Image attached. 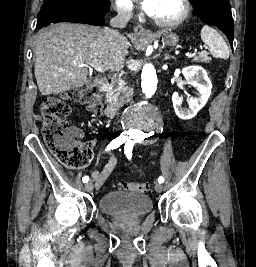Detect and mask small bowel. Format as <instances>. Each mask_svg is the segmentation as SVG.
I'll list each match as a JSON object with an SVG mask.
<instances>
[{"instance_id":"small-bowel-1","label":"small bowel","mask_w":256,"mask_h":267,"mask_svg":"<svg viewBox=\"0 0 256 267\" xmlns=\"http://www.w3.org/2000/svg\"><path fill=\"white\" fill-rule=\"evenodd\" d=\"M118 164L119 159L117 155L112 151L108 152V160L106 164L101 169L95 170L92 173V178L95 181L97 188H100L105 183Z\"/></svg>"}]
</instances>
